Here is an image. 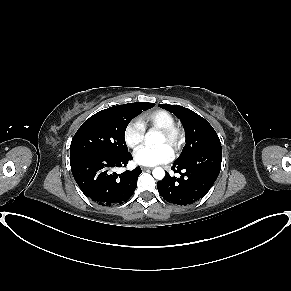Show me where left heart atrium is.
I'll return each instance as SVG.
<instances>
[{
	"instance_id": "obj_1",
	"label": "left heart atrium",
	"mask_w": 291,
	"mask_h": 291,
	"mask_svg": "<svg viewBox=\"0 0 291 291\" xmlns=\"http://www.w3.org/2000/svg\"><path fill=\"white\" fill-rule=\"evenodd\" d=\"M173 158L172 149L161 144L155 147L141 146L134 151V160L136 163L144 166H154L166 163Z\"/></svg>"
}]
</instances>
